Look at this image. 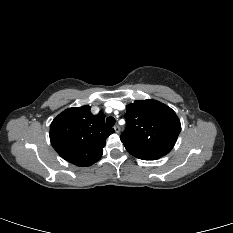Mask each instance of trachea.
Returning a JSON list of instances; mask_svg holds the SVG:
<instances>
[{
  "label": "trachea",
  "mask_w": 233,
  "mask_h": 233,
  "mask_svg": "<svg viewBox=\"0 0 233 233\" xmlns=\"http://www.w3.org/2000/svg\"><path fill=\"white\" fill-rule=\"evenodd\" d=\"M106 123L108 126L113 127L115 124V118L114 117H107Z\"/></svg>",
  "instance_id": "obj_1"
}]
</instances>
